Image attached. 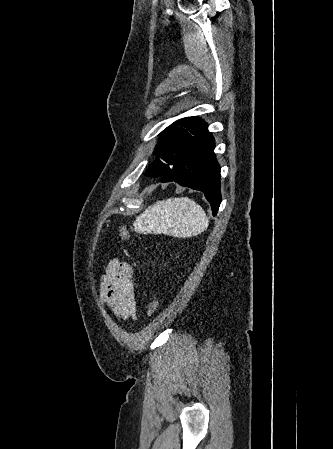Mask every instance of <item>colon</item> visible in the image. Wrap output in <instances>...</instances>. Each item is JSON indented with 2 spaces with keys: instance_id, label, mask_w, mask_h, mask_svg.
Returning <instances> with one entry per match:
<instances>
[{
  "instance_id": "5ec220e1",
  "label": "colon",
  "mask_w": 333,
  "mask_h": 449,
  "mask_svg": "<svg viewBox=\"0 0 333 449\" xmlns=\"http://www.w3.org/2000/svg\"><path fill=\"white\" fill-rule=\"evenodd\" d=\"M119 235L123 240L128 241L130 239V232L126 226H120ZM160 303H161L160 299L155 297L150 300L147 308L148 317H152L155 315V313L158 311L160 307Z\"/></svg>"
}]
</instances>
